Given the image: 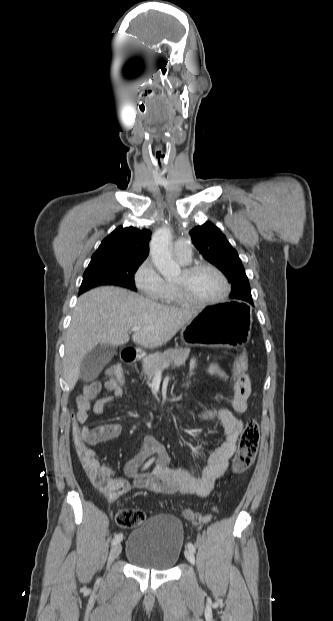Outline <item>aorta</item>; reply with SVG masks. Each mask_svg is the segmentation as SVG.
I'll use <instances>...</instances> for the list:
<instances>
[{"mask_svg":"<svg viewBox=\"0 0 333 621\" xmlns=\"http://www.w3.org/2000/svg\"><path fill=\"white\" fill-rule=\"evenodd\" d=\"M171 237L172 233L169 228H160L153 234L150 242L153 263L164 277H175L181 273L180 266L172 259Z\"/></svg>","mask_w":333,"mask_h":621,"instance_id":"aorta-1","label":"aorta"}]
</instances>
